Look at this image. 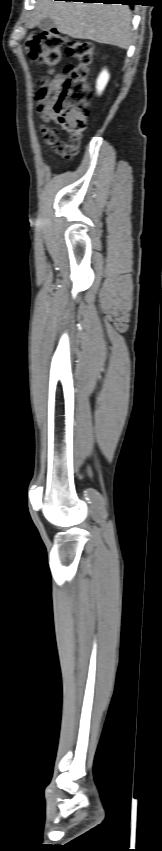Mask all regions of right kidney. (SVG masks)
<instances>
[{
	"instance_id": "ca27d5eb",
	"label": "right kidney",
	"mask_w": 162,
	"mask_h": 851,
	"mask_svg": "<svg viewBox=\"0 0 162 851\" xmlns=\"http://www.w3.org/2000/svg\"><path fill=\"white\" fill-rule=\"evenodd\" d=\"M109 80V73L107 70H103L97 78L96 89L97 93L100 94L104 88L106 87Z\"/></svg>"
}]
</instances>
